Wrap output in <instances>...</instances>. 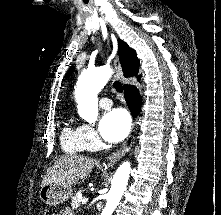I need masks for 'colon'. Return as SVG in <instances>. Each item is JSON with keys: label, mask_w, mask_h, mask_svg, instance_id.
I'll return each mask as SVG.
<instances>
[{"label": "colon", "mask_w": 221, "mask_h": 215, "mask_svg": "<svg viewBox=\"0 0 221 215\" xmlns=\"http://www.w3.org/2000/svg\"><path fill=\"white\" fill-rule=\"evenodd\" d=\"M44 215H58V214H55L54 212H46Z\"/></svg>", "instance_id": "obj_1"}]
</instances>
